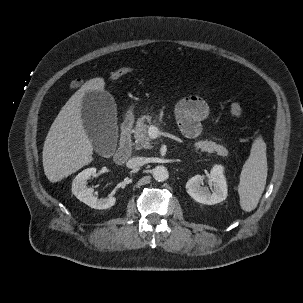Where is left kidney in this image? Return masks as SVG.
<instances>
[{"mask_svg": "<svg viewBox=\"0 0 303 303\" xmlns=\"http://www.w3.org/2000/svg\"><path fill=\"white\" fill-rule=\"evenodd\" d=\"M224 168L221 165H214L210 174L196 175L186 183L187 193L197 202L207 205L222 202L227 197V183L224 176ZM206 180L211 187L203 186Z\"/></svg>", "mask_w": 303, "mask_h": 303, "instance_id": "5707ae66", "label": "left kidney"}]
</instances>
